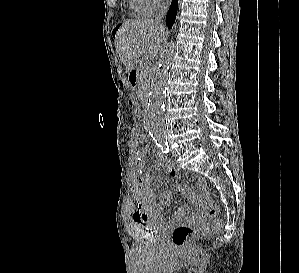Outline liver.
<instances>
[{"mask_svg": "<svg viewBox=\"0 0 299 273\" xmlns=\"http://www.w3.org/2000/svg\"><path fill=\"white\" fill-rule=\"evenodd\" d=\"M165 36V28L154 20L135 19L123 22L115 36V48L126 70H134L144 53L149 58L155 57Z\"/></svg>", "mask_w": 299, "mask_h": 273, "instance_id": "6515ba94", "label": "liver"}]
</instances>
